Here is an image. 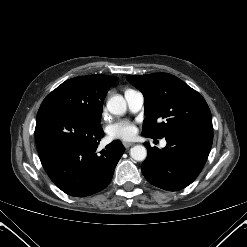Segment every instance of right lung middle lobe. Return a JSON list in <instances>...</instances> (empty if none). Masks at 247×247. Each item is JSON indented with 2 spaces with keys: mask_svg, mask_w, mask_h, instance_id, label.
Listing matches in <instances>:
<instances>
[{
  "mask_svg": "<svg viewBox=\"0 0 247 247\" xmlns=\"http://www.w3.org/2000/svg\"><path fill=\"white\" fill-rule=\"evenodd\" d=\"M106 94L92 75L75 77L53 90L40 107L57 106L71 110L99 125Z\"/></svg>",
  "mask_w": 247,
  "mask_h": 247,
  "instance_id": "dd1d6c3e",
  "label": "right lung middle lobe"
}]
</instances>
